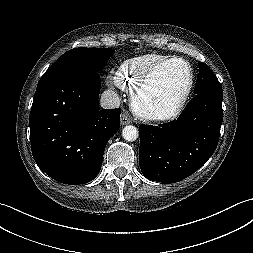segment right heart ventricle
Segmentation results:
<instances>
[{
  "label": "right heart ventricle",
  "mask_w": 253,
  "mask_h": 253,
  "mask_svg": "<svg viewBox=\"0 0 253 253\" xmlns=\"http://www.w3.org/2000/svg\"><path fill=\"white\" fill-rule=\"evenodd\" d=\"M167 58L169 57L157 53L144 54L130 58L120 64L116 69L113 82L123 90L132 94L147 70L154 64Z\"/></svg>",
  "instance_id": "right-heart-ventricle-1"
}]
</instances>
